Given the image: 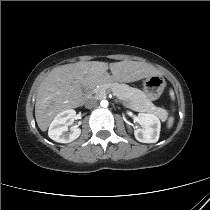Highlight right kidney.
Returning <instances> with one entry per match:
<instances>
[{
    "instance_id": "1",
    "label": "right kidney",
    "mask_w": 210,
    "mask_h": 210,
    "mask_svg": "<svg viewBox=\"0 0 210 210\" xmlns=\"http://www.w3.org/2000/svg\"><path fill=\"white\" fill-rule=\"evenodd\" d=\"M75 115L76 111L73 109L59 113L50 124L48 136L59 143H69L77 139L81 129L75 126L68 128V125L74 121Z\"/></svg>"
}]
</instances>
